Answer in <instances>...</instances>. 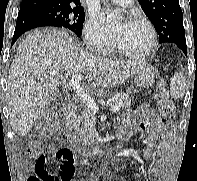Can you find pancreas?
I'll return each mask as SVG.
<instances>
[{
	"mask_svg": "<svg viewBox=\"0 0 197 181\" xmlns=\"http://www.w3.org/2000/svg\"><path fill=\"white\" fill-rule=\"evenodd\" d=\"M112 100L115 105H119L122 108H128L132 103V99L125 93L117 94ZM94 115L95 113L88 109L78 116H73L70 123V130L73 131L79 140L91 141L96 137Z\"/></svg>",
	"mask_w": 197,
	"mask_h": 181,
	"instance_id": "obj_1",
	"label": "pancreas"
}]
</instances>
